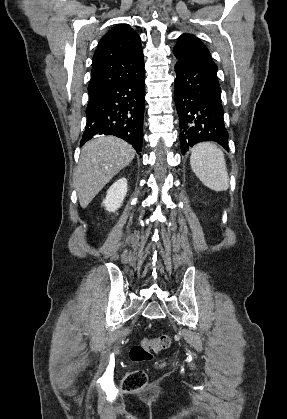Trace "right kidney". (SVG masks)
<instances>
[{
  "label": "right kidney",
  "instance_id": "obj_1",
  "mask_svg": "<svg viewBox=\"0 0 287 419\" xmlns=\"http://www.w3.org/2000/svg\"><path fill=\"white\" fill-rule=\"evenodd\" d=\"M127 193V180L121 178L117 180L108 189L106 198L103 200L102 205L105 206L109 212H115L123 203Z\"/></svg>",
  "mask_w": 287,
  "mask_h": 419
}]
</instances>
